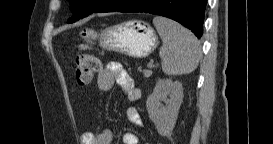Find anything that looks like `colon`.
I'll return each instance as SVG.
<instances>
[{
    "label": "colon",
    "mask_w": 273,
    "mask_h": 144,
    "mask_svg": "<svg viewBox=\"0 0 273 144\" xmlns=\"http://www.w3.org/2000/svg\"><path fill=\"white\" fill-rule=\"evenodd\" d=\"M93 36L94 33L91 30H86L83 33V37L87 41L92 39ZM81 47L84 51L77 55L75 59L76 79L79 85L86 86L93 81L100 68V62L95 55L87 51L88 42Z\"/></svg>",
    "instance_id": "5ec220e1"
}]
</instances>
